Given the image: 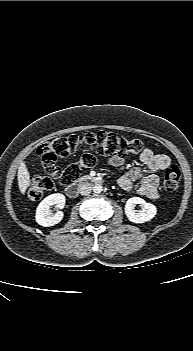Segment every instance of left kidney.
<instances>
[{
	"label": "left kidney",
	"instance_id": "obj_1",
	"mask_svg": "<svg viewBox=\"0 0 193 351\" xmlns=\"http://www.w3.org/2000/svg\"><path fill=\"white\" fill-rule=\"evenodd\" d=\"M137 204L141 206V210H135ZM156 213V207L140 197H132L128 199L125 205V214L133 223L147 222L154 218Z\"/></svg>",
	"mask_w": 193,
	"mask_h": 351
}]
</instances>
